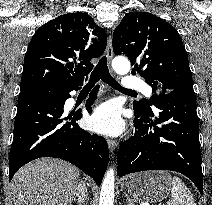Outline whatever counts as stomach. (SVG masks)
Listing matches in <instances>:
<instances>
[{"mask_svg":"<svg viewBox=\"0 0 212 205\" xmlns=\"http://www.w3.org/2000/svg\"><path fill=\"white\" fill-rule=\"evenodd\" d=\"M171 185V175L165 171L131 174L121 180L123 194L135 203L160 202L168 196Z\"/></svg>","mask_w":212,"mask_h":205,"instance_id":"obj_1","label":"stomach"}]
</instances>
